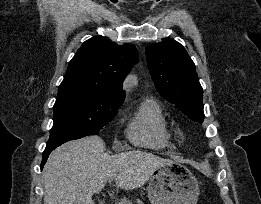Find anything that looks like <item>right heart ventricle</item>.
Segmentation results:
<instances>
[{
    "mask_svg": "<svg viewBox=\"0 0 261 204\" xmlns=\"http://www.w3.org/2000/svg\"><path fill=\"white\" fill-rule=\"evenodd\" d=\"M128 139L136 146L162 149L172 139V131L162 106L155 100L140 103L129 118L126 128Z\"/></svg>",
    "mask_w": 261,
    "mask_h": 204,
    "instance_id": "right-heart-ventricle-1",
    "label": "right heart ventricle"
}]
</instances>
